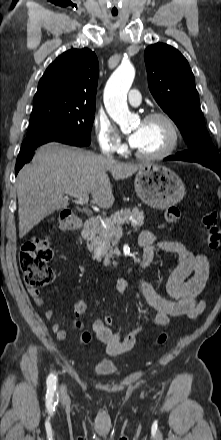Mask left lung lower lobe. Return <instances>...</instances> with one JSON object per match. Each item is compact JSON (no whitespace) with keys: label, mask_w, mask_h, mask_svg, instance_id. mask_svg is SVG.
I'll use <instances>...</instances> for the list:
<instances>
[{"label":"left lung lower lobe","mask_w":221,"mask_h":440,"mask_svg":"<svg viewBox=\"0 0 221 440\" xmlns=\"http://www.w3.org/2000/svg\"><path fill=\"white\" fill-rule=\"evenodd\" d=\"M165 160H183V158L176 154L174 156H170V157L165 158ZM214 171L221 177V169L220 168H215Z\"/></svg>","instance_id":"1"}]
</instances>
